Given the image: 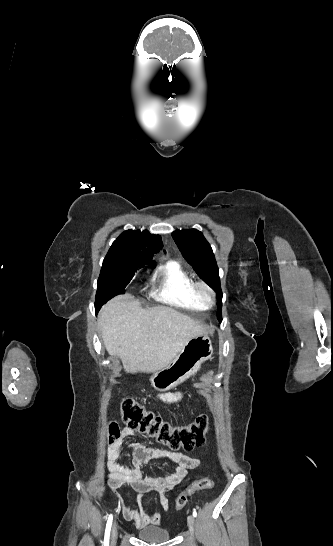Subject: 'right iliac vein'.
<instances>
[{
  "instance_id": "right-iliac-vein-1",
  "label": "right iliac vein",
  "mask_w": 333,
  "mask_h": 546,
  "mask_svg": "<svg viewBox=\"0 0 333 546\" xmlns=\"http://www.w3.org/2000/svg\"><path fill=\"white\" fill-rule=\"evenodd\" d=\"M117 535H118L117 526L114 523L113 526H112V530H111V538H110L111 545H113L116 542Z\"/></svg>"
}]
</instances>
